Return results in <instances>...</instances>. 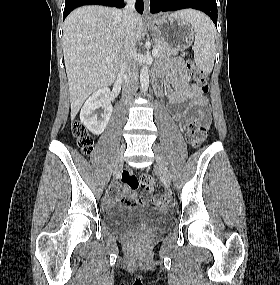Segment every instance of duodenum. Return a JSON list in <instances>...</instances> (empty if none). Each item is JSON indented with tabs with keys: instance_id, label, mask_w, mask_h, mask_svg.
<instances>
[{
	"instance_id": "duodenum-1",
	"label": "duodenum",
	"mask_w": 280,
	"mask_h": 285,
	"mask_svg": "<svg viewBox=\"0 0 280 285\" xmlns=\"http://www.w3.org/2000/svg\"><path fill=\"white\" fill-rule=\"evenodd\" d=\"M155 92H156L157 96H160L161 95V88L157 87Z\"/></svg>"
}]
</instances>
